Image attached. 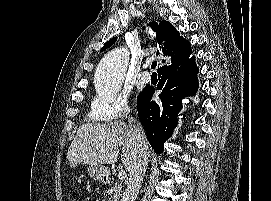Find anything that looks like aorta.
Here are the masks:
<instances>
[{"mask_svg": "<svg viewBox=\"0 0 271 201\" xmlns=\"http://www.w3.org/2000/svg\"><path fill=\"white\" fill-rule=\"evenodd\" d=\"M129 63L127 48H115L108 52L96 69V89L100 93H117Z\"/></svg>", "mask_w": 271, "mask_h": 201, "instance_id": "obj_1", "label": "aorta"}]
</instances>
